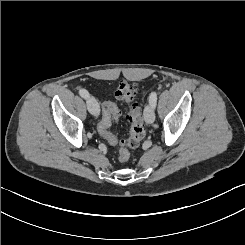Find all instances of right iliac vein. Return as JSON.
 Returning a JSON list of instances; mask_svg holds the SVG:
<instances>
[{
    "label": "right iliac vein",
    "instance_id": "1",
    "mask_svg": "<svg viewBox=\"0 0 245 245\" xmlns=\"http://www.w3.org/2000/svg\"><path fill=\"white\" fill-rule=\"evenodd\" d=\"M86 103H87V108H88L89 112L92 115L97 117L100 113V110H99V105H98L96 99L93 96H89L86 100Z\"/></svg>",
    "mask_w": 245,
    "mask_h": 245
}]
</instances>
